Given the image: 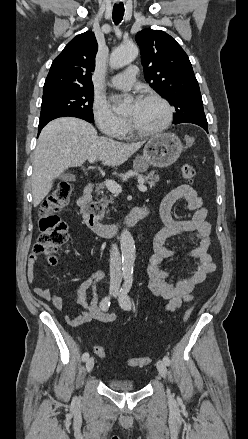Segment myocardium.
I'll use <instances>...</instances> for the list:
<instances>
[{
    "instance_id": "f54148a6",
    "label": "myocardium",
    "mask_w": 248,
    "mask_h": 439,
    "mask_svg": "<svg viewBox=\"0 0 248 439\" xmlns=\"http://www.w3.org/2000/svg\"><path fill=\"white\" fill-rule=\"evenodd\" d=\"M143 99L156 100L161 103L166 110V119L159 127L151 130H144L138 127L130 118H128L129 129L134 134L141 137H148L166 131L171 126L174 119V109L171 104L164 97L156 93H148L143 97Z\"/></svg>"
}]
</instances>
